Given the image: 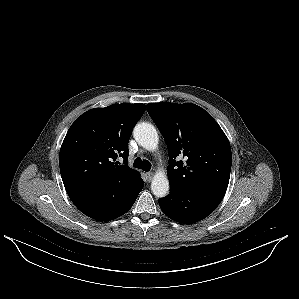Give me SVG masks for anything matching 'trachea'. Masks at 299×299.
Instances as JSON below:
<instances>
[{
  "label": "trachea",
  "mask_w": 299,
  "mask_h": 299,
  "mask_svg": "<svg viewBox=\"0 0 299 299\" xmlns=\"http://www.w3.org/2000/svg\"><path fill=\"white\" fill-rule=\"evenodd\" d=\"M133 166L144 171H149L151 169V163L147 160H142L141 158H136Z\"/></svg>",
  "instance_id": "1"
}]
</instances>
